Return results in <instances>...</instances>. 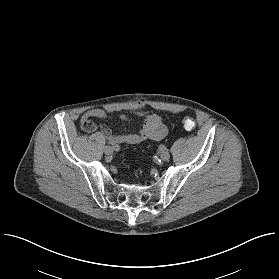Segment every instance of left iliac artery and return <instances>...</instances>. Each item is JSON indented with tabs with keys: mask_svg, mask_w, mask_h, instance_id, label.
Returning a JSON list of instances; mask_svg holds the SVG:
<instances>
[{
	"mask_svg": "<svg viewBox=\"0 0 279 279\" xmlns=\"http://www.w3.org/2000/svg\"><path fill=\"white\" fill-rule=\"evenodd\" d=\"M159 149H160V150H166L167 147H166L165 145H160Z\"/></svg>",
	"mask_w": 279,
	"mask_h": 279,
	"instance_id": "left-iliac-artery-1",
	"label": "left iliac artery"
}]
</instances>
